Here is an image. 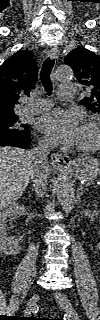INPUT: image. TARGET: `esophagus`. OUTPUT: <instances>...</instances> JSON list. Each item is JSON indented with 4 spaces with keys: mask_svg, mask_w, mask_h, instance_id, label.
Instances as JSON below:
<instances>
[{
    "mask_svg": "<svg viewBox=\"0 0 100 320\" xmlns=\"http://www.w3.org/2000/svg\"><path fill=\"white\" fill-rule=\"evenodd\" d=\"M58 49L57 47L52 48L47 52V57L51 59L58 58ZM51 163L53 167L64 169L67 168L71 164V158L68 155H62L60 153H52L51 154Z\"/></svg>",
    "mask_w": 100,
    "mask_h": 320,
    "instance_id": "obj_1",
    "label": "esophagus"
}]
</instances>
